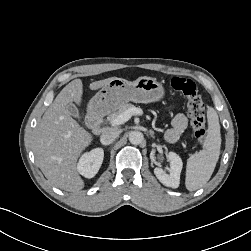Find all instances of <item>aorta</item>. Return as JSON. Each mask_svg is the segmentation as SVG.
Masks as SVG:
<instances>
[{
	"mask_svg": "<svg viewBox=\"0 0 251 251\" xmlns=\"http://www.w3.org/2000/svg\"><path fill=\"white\" fill-rule=\"evenodd\" d=\"M144 140V135L140 131H132L129 134V141L133 145H140Z\"/></svg>",
	"mask_w": 251,
	"mask_h": 251,
	"instance_id": "1",
	"label": "aorta"
}]
</instances>
